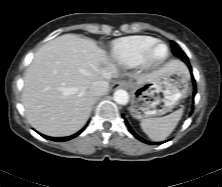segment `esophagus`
<instances>
[{
  "mask_svg": "<svg viewBox=\"0 0 222 187\" xmlns=\"http://www.w3.org/2000/svg\"><path fill=\"white\" fill-rule=\"evenodd\" d=\"M128 84L126 81L120 80L117 81L113 84V89H117V88H127Z\"/></svg>",
  "mask_w": 222,
  "mask_h": 187,
  "instance_id": "obj_1",
  "label": "esophagus"
}]
</instances>
